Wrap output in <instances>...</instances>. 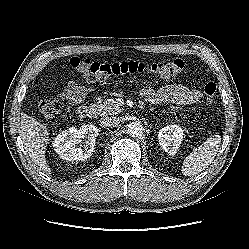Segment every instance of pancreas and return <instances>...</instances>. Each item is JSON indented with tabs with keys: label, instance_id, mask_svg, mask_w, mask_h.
Here are the masks:
<instances>
[{
	"label": "pancreas",
	"instance_id": "obj_1",
	"mask_svg": "<svg viewBox=\"0 0 249 249\" xmlns=\"http://www.w3.org/2000/svg\"><path fill=\"white\" fill-rule=\"evenodd\" d=\"M102 115H114L121 112L117 99H108L98 106Z\"/></svg>",
	"mask_w": 249,
	"mask_h": 249
}]
</instances>
